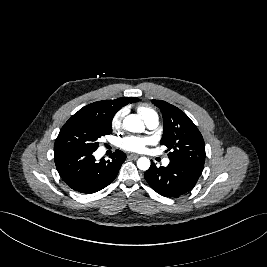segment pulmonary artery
<instances>
[{
	"instance_id": "obj_1",
	"label": "pulmonary artery",
	"mask_w": 267,
	"mask_h": 267,
	"mask_svg": "<svg viewBox=\"0 0 267 267\" xmlns=\"http://www.w3.org/2000/svg\"><path fill=\"white\" fill-rule=\"evenodd\" d=\"M147 127L149 129H155L158 124H159V120H158V116H153V117H150L149 119H147L145 121ZM163 164L166 166L169 164V159L168 158H164L163 159Z\"/></svg>"
}]
</instances>
